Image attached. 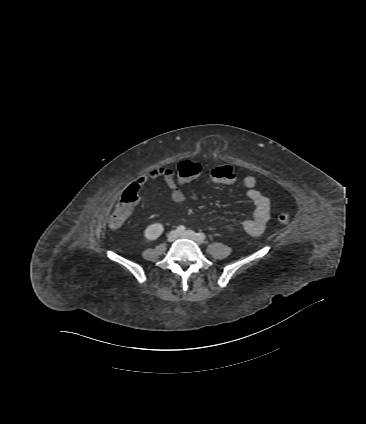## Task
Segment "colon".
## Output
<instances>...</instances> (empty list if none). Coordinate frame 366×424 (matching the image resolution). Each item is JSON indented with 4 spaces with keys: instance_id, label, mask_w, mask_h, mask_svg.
I'll use <instances>...</instances> for the list:
<instances>
[{
    "instance_id": "1",
    "label": "colon",
    "mask_w": 366,
    "mask_h": 424,
    "mask_svg": "<svg viewBox=\"0 0 366 424\" xmlns=\"http://www.w3.org/2000/svg\"><path fill=\"white\" fill-rule=\"evenodd\" d=\"M201 171L202 167L199 163L187 159L181 160L176 167L177 178L180 182H187L197 177L200 175ZM210 174L215 181L220 183H232L235 180L234 170L228 165L214 167ZM137 201V187L135 185H131L123 193L113 213L110 215V227H120L131 214ZM277 219L281 224H287L291 219V212L287 208H284L279 212Z\"/></svg>"
}]
</instances>
